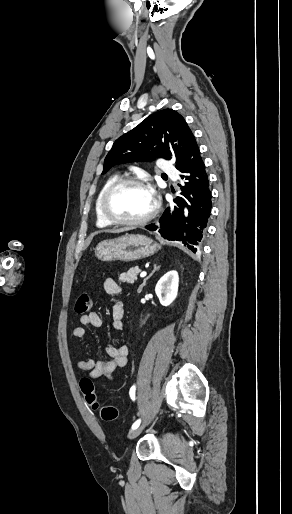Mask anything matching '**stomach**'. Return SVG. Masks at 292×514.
Returning <instances> with one entry per match:
<instances>
[{
    "label": "stomach",
    "mask_w": 292,
    "mask_h": 514,
    "mask_svg": "<svg viewBox=\"0 0 292 514\" xmlns=\"http://www.w3.org/2000/svg\"><path fill=\"white\" fill-rule=\"evenodd\" d=\"M159 244H154L153 240L141 234H126L115 240H104L98 244L95 254L102 262H134L142 260L155 254L159 250Z\"/></svg>",
    "instance_id": "obj_1"
}]
</instances>
